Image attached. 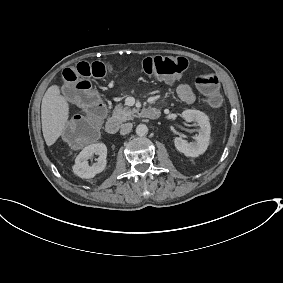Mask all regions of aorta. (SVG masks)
I'll list each match as a JSON object with an SVG mask.
<instances>
[{
	"instance_id": "762f6f07",
	"label": "aorta",
	"mask_w": 283,
	"mask_h": 283,
	"mask_svg": "<svg viewBox=\"0 0 283 283\" xmlns=\"http://www.w3.org/2000/svg\"><path fill=\"white\" fill-rule=\"evenodd\" d=\"M148 133V127L145 124H139L136 127V134L138 136H145Z\"/></svg>"
}]
</instances>
